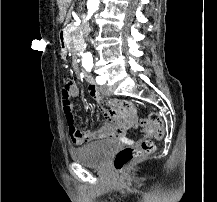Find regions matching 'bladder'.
Wrapping results in <instances>:
<instances>
[{
  "instance_id": "bladder-1",
  "label": "bladder",
  "mask_w": 217,
  "mask_h": 202,
  "mask_svg": "<svg viewBox=\"0 0 217 202\" xmlns=\"http://www.w3.org/2000/svg\"><path fill=\"white\" fill-rule=\"evenodd\" d=\"M118 149V142L115 140H104L90 143L80 149L71 151V158L82 165L99 166L105 163L110 154Z\"/></svg>"
}]
</instances>
